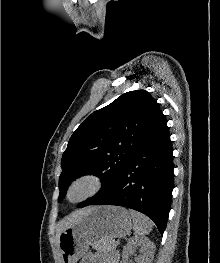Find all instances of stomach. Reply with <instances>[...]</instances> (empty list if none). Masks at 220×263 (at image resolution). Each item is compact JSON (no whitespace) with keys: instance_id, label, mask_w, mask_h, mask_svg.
I'll list each match as a JSON object with an SVG mask.
<instances>
[{"instance_id":"0dacf381","label":"stomach","mask_w":220,"mask_h":263,"mask_svg":"<svg viewBox=\"0 0 220 263\" xmlns=\"http://www.w3.org/2000/svg\"><path fill=\"white\" fill-rule=\"evenodd\" d=\"M133 226L130 213L119 206L94 207L59 236L61 263H77L89 246L100 249L114 238L127 235Z\"/></svg>"}]
</instances>
